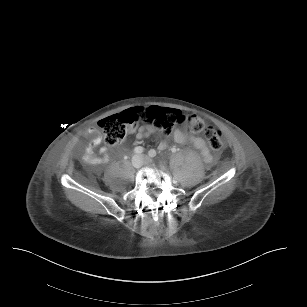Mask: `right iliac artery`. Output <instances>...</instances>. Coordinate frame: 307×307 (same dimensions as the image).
<instances>
[{
    "mask_svg": "<svg viewBox=\"0 0 307 307\" xmlns=\"http://www.w3.org/2000/svg\"><path fill=\"white\" fill-rule=\"evenodd\" d=\"M143 151H144V149L141 146L135 147V149H134V152L137 153V154H141Z\"/></svg>",
    "mask_w": 307,
    "mask_h": 307,
    "instance_id": "1",
    "label": "right iliac artery"
}]
</instances>
